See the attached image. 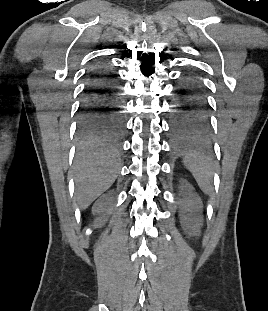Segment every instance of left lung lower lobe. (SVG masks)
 Instances as JSON below:
<instances>
[{"label":"left lung lower lobe","instance_id":"obj_1","mask_svg":"<svg viewBox=\"0 0 268 311\" xmlns=\"http://www.w3.org/2000/svg\"><path fill=\"white\" fill-rule=\"evenodd\" d=\"M171 141H210V119L203 84L194 72L185 73L171 110Z\"/></svg>","mask_w":268,"mask_h":311}]
</instances>
